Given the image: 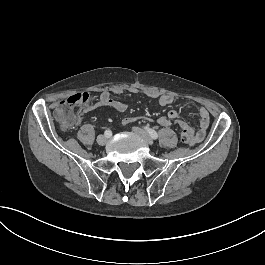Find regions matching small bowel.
<instances>
[{
	"instance_id": "c3829d8e",
	"label": "small bowel",
	"mask_w": 265,
	"mask_h": 265,
	"mask_svg": "<svg viewBox=\"0 0 265 265\" xmlns=\"http://www.w3.org/2000/svg\"><path fill=\"white\" fill-rule=\"evenodd\" d=\"M113 92L115 94H121L123 90L121 88H116L114 89ZM131 92L136 94V93H140V90L132 89ZM146 95L149 98L156 99L160 106L170 105L175 100V98L169 94H158L156 92H146ZM97 107H111L118 112H124L128 108L125 102L116 100L111 97L108 91H103L99 95V99L95 104L86 105V106L81 107V112L76 117L77 122L78 123L81 122L88 112H90L91 110ZM196 113L198 115L197 128H194L190 126L189 124L185 123L184 121H182L181 119L183 115L178 110H171L168 112L167 115L161 116L158 119L151 118L150 122L151 123L157 122L162 127H169L171 125H176L181 129V131H185L189 134L191 138L190 144H197L201 142L206 135V131L210 124V115H209L208 110L203 106H197ZM135 120L148 122L149 118L147 116L135 115V116H131L130 118H126L124 123L134 122Z\"/></svg>"
}]
</instances>
